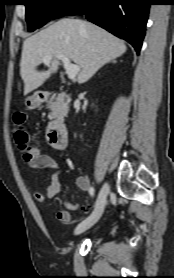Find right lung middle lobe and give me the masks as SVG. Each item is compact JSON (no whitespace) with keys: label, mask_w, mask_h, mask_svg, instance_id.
<instances>
[{"label":"right lung middle lobe","mask_w":174,"mask_h":278,"mask_svg":"<svg viewBox=\"0 0 174 278\" xmlns=\"http://www.w3.org/2000/svg\"><path fill=\"white\" fill-rule=\"evenodd\" d=\"M28 30L34 31L51 18H60L69 12L79 0H24Z\"/></svg>","instance_id":"right-lung-middle-lobe-1"}]
</instances>
